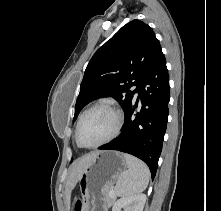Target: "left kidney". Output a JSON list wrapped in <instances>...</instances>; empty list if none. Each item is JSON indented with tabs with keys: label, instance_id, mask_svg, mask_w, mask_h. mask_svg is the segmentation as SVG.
Listing matches in <instances>:
<instances>
[{
	"label": "left kidney",
	"instance_id": "1",
	"mask_svg": "<svg viewBox=\"0 0 221 211\" xmlns=\"http://www.w3.org/2000/svg\"><path fill=\"white\" fill-rule=\"evenodd\" d=\"M145 202V194L123 197L114 203L112 211H143Z\"/></svg>",
	"mask_w": 221,
	"mask_h": 211
}]
</instances>
